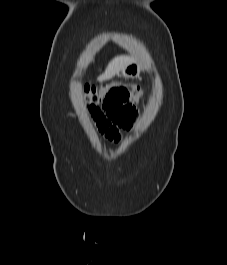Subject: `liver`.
Returning a JSON list of instances; mask_svg holds the SVG:
<instances>
[{
    "label": "liver",
    "mask_w": 227,
    "mask_h": 265,
    "mask_svg": "<svg viewBox=\"0 0 227 265\" xmlns=\"http://www.w3.org/2000/svg\"><path fill=\"white\" fill-rule=\"evenodd\" d=\"M134 62V59L129 56H117L112 59L105 69V72L98 77V80L105 81L109 80L115 75H118L125 67L130 63Z\"/></svg>",
    "instance_id": "liver-1"
}]
</instances>
